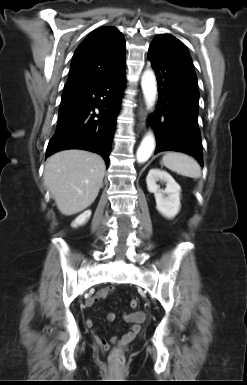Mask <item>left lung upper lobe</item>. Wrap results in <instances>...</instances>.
<instances>
[{
	"mask_svg": "<svg viewBox=\"0 0 247 385\" xmlns=\"http://www.w3.org/2000/svg\"><path fill=\"white\" fill-rule=\"evenodd\" d=\"M175 39H176V38H175ZM176 40L179 42L178 39H176ZM179 44H180V47L183 49V51L190 57V55H189L187 49H186L180 42H179Z\"/></svg>",
	"mask_w": 247,
	"mask_h": 385,
	"instance_id": "obj_1",
	"label": "left lung upper lobe"
}]
</instances>
